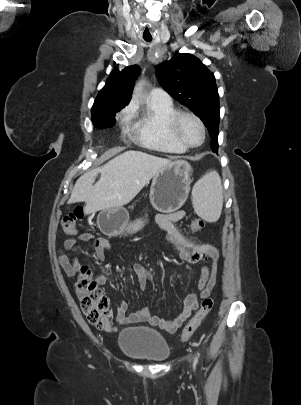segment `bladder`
Here are the masks:
<instances>
[{
	"label": "bladder",
	"mask_w": 301,
	"mask_h": 405,
	"mask_svg": "<svg viewBox=\"0 0 301 405\" xmlns=\"http://www.w3.org/2000/svg\"><path fill=\"white\" fill-rule=\"evenodd\" d=\"M122 353L130 358L161 362L168 358L170 349L165 338L156 330L148 327H128L118 338Z\"/></svg>",
	"instance_id": "1"
}]
</instances>
